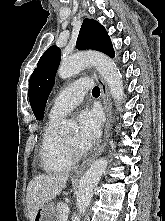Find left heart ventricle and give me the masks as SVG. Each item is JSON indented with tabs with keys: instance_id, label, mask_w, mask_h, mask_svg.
Masks as SVG:
<instances>
[{
	"instance_id": "obj_1",
	"label": "left heart ventricle",
	"mask_w": 165,
	"mask_h": 221,
	"mask_svg": "<svg viewBox=\"0 0 165 221\" xmlns=\"http://www.w3.org/2000/svg\"><path fill=\"white\" fill-rule=\"evenodd\" d=\"M65 138L70 143L74 144L75 146H77L79 149L82 150V148L80 147V145L78 143V133L77 132L70 133V134L66 135Z\"/></svg>"
}]
</instances>
